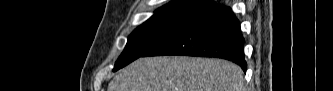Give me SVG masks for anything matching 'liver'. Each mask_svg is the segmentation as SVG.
Here are the masks:
<instances>
[{
	"instance_id": "1",
	"label": "liver",
	"mask_w": 333,
	"mask_h": 91,
	"mask_svg": "<svg viewBox=\"0 0 333 91\" xmlns=\"http://www.w3.org/2000/svg\"><path fill=\"white\" fill-rule=\"evenodd\" d=\"M108 91H246L232 62L193 57L139 58L109 83Z\"/></svg>"
}]
</instances>
